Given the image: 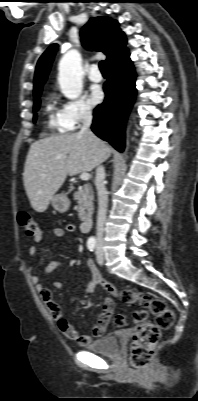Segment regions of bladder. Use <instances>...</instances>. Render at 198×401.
Returning <instances> with one entry per match:
<instances>
[{
  "label": "bladder",
  "mask_w": 198,
  "mask_h": 401,
  "mask_svg": "<svg viewBox=\"0 0 198 401\" xmlns=\"http://www.w3.org/2000/svg\"><path fill=\"white\" fill-rule=\"evenodd\" d=\"M87 349L97 354L117 356L120 352V344L117 335L107 334L88 344Z\"/></svg>",
  "instance_id": "obj_1"
}]
</instances>
